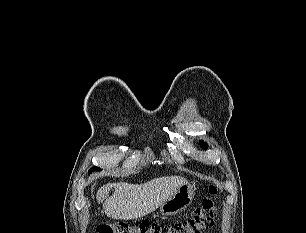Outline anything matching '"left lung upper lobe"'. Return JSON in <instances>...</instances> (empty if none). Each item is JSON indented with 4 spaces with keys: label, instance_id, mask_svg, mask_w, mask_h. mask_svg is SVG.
I'll return each mask as SVG.
<instances>
[{
    "label": "left lung upper lobe",
    "instance_id": "1",
    "mask_svg": "<svg viewBox=\"0 0 306 233\" xmlns=\"http://www.w3.org/2000/svg\"><path fill=\"white\" fill-rule=\"evenodd\" d=\"M200 145L204 148V149H207V143H204V141H199Z\"/></svg>",
    "mask_w": 306,
    "mask_h": 233
}]
</instances>
